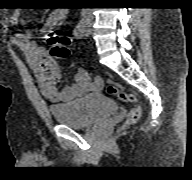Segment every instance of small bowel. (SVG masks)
<instances>
[{
  "label": "small bowel",
  "mask_w": 192,
  "mask_h": 180,
  "mask_svg": "<svg viewBox=\"0 0 192 180\" xmlns=\"http://www.w3.org/2000/svg\"><path fill=\"white\" fill-rule=\"evenodd\" d=\"M67 9H55L46 19V30L60 26L68 17ZM12 23L20 21L19 12H14ZM16 45L25 53V56L34 70L41 92L52 101H69L81 97L89 92L99 91L103 87L100 78L90 80L87 71L79 68L74 76V84L60 89L57 84L61 72L57 60L50 53L32 41L28 34L18 33L14 37Z\"/></svg>",
  "instance_id": "obj_1"
}]
</instances>
